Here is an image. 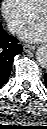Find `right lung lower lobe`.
I'll return each instance as SVG.
<instances>
[{
    "instance_id": "98d812e1",
    "label": "right lung lower lobe",
    "mask_w": 47,
    "mask_h": 129,
    "mask_svg": "<svg viewBox=\"0 0 47 129\" xmlns=\"http://www.w3.org/2000/svg\"><path fill=\"white\" fill-rule=\"evenodd\" d=\"M21 52L22 46L18 44V40L8 35L0 25V87L11 73L14 57Z\"/></svg>"
}]
</instances>
